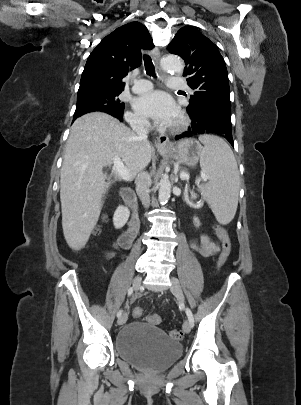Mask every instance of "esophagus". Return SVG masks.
Instances as JSON below:
<instances>
[{"instance_id": "esophagus-1", "label": "esophagus", "mask_w": 301, "mask_h": 405, "mask_svg": "<svg viewBox=\"0 0 301 405\" xmlns=\"http://www.w3.org/2000/svg\"><path fill=\"white\" fill-rule=\"evenodd\" d=\"M151 56H152V59H153L155 65H156V68L159 71H161L162 70L161 65H160L161 56H160V52H159L158 48H154L152 50ZM170 144H171V142H170V139H169V137L167 135H161V136H159L157 138L156 146L158 148H162V149L167 148V147L170 146Z\"/></svg>"}]
</instances>
